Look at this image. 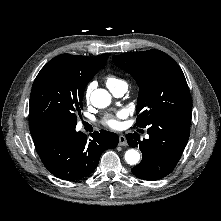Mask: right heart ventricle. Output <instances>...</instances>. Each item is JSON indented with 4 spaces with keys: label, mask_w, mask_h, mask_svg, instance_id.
<instances>
[{
    "label": "right heart ventricle",
    "mask_w": 221,
    "mask_h": 221,
    "mask_svg": "<svg viewBox=\"0 0 221 221\" xmlns=\"http://www.w3.org/2000/svg\"><path fill=\"white\" fill-rule=\"evenodd\" d=\"M124 84H126L125 81H123L122 79L116 76L110 75L106 77V85L108 86L110 90L115 89Z\"/></svg>",
    "instance_id": "e07e8e85"
}]
</instances>
